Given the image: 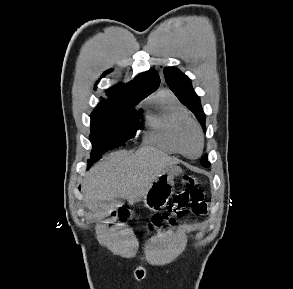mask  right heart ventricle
Instances as JSON below:
<instances>
[{
  "instance_id": "obj_1",
  "label": "right heart ventricle",
  "mask_w": 293,
  "mask_h": 289,
  "mask_svg": "<svg viewBox=\"0 0 293 289\" xmlns=\"http://www.w3.org/2000/svg\"><path fill=\"white\" fill-rule=\"evenodd\" d=\"M146 131L144 140L169 153H179L174 140L178 124L189 118L186 109L166 89L150 96L144 104Z\"/></svg>"
}]
</instances>
